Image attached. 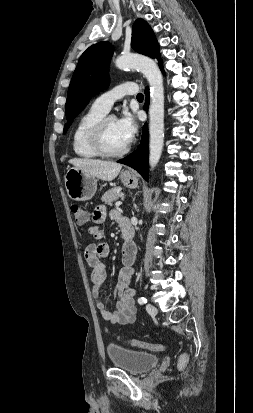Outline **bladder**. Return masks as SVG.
<instances>
[{"instance_id": "31cf9c89", "label": "bladder", "mask_w": 253, "mask_h": 413, "mask_svg": "<svg viewBox=\"0 0 253 413\" xmlns=\"http://www.w3.org/2000/svg\"><path fill=\"white\" fill-rule=\"evenodd\" d=\"M106 352L111 364L133 374H142L157 366L159 356L139 350L128 349L119 345L109 344Z\"/></svg>"}]
</instances>
